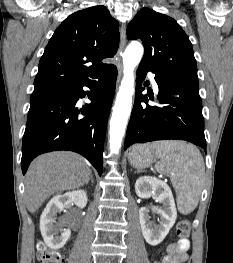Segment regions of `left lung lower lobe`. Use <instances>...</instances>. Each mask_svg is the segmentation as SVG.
<instances>
[{"label":"left lung lower lobe","instance_id":"0a47b994","mask_svg":"<svg viewBox=\"0 0 233 263\" xmlns=\"http://www.w3.org/2000/svg\"><path fill=\"white\" fill-rule=\"evenodd\" d=\"M148 71L155 73L150 68L139 65L125 149L134 143L163 139L186 140L206 149L198 82L155 73V81L159 87V106H150L147 95L141 93L142 81ZM149 99L153 100V97L149 96Z\"/></svg>","mask_w":233,"mask_h":263}]
</instances>
